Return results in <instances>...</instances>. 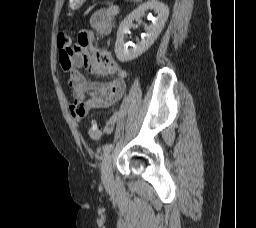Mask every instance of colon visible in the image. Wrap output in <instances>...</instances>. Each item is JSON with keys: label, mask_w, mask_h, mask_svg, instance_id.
I'll return each mask as SVG.
<instances>
[{"label": "colon", "mask_w": 256, "mask_h": 228, "mask_svg": "<svg viewBox=\"0 0 256 228\" xmlns=\"http://www.w3.org/2000/svg\"><path fill=\"white\" fill-rule=\"evenodd\" d=\"M58 48L64 51H68L72 48V42L69 36L60 34L57 38ZM103 132V128L96 122H91L88 127V134L92 139H98Z\"/></svg>", "instance_id": "colon-1"}]
</instances>
